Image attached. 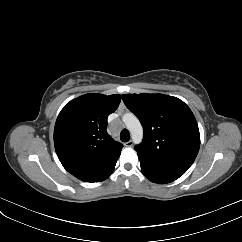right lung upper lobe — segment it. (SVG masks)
I'll use <instances>...</instances> for the list:
<instances>
[{"label": "right lung upper lobe", "instance_id": "right-lung-upper-lobe-1", "mask_svg": "<svg viewBox=\"0 0 242 242\" xmlns=\"http://www.w3.org/2000/svg\"><path fill=\"white\" fill-rule=\"evenodd\" d=\"M120 95L85 94L71 100L59 113L54 146L64 168L85 182H95L116 164L123 145L106 131L108 115Z\"/></svg>", "mask_w": 242, "mask_h": 242}]
</instances>
